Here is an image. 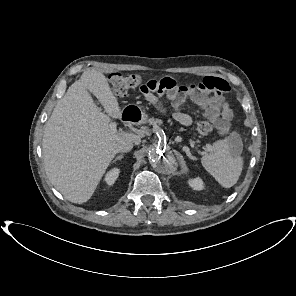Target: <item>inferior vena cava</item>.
<instances>
[{"label": "inferior vena cava", "instance_id": "602c4592", "mask_svg": "<svg viewBox=\"0 0 296 296\" xmlns=\"http://www.w3.org/2000/svg\"><path fill=\"white\" fill-rule=\"evenodd\" d=\"M133 148V142L129 139H121L115 144L116 152H129Z\"/></svg>", "mask_w": 296, "mask_h": 296}]
</instances>
